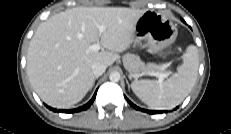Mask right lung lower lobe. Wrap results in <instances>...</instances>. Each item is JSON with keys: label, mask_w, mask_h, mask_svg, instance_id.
I'll list each match as a JSON object with an SVG mask.
<instances>
[{"label": "right lung lower lobe", "mask_w": 231, "mask_h": 134, "mask_svg": "<svg viewBox=\"0 0 231 134\" xmlns=\"http://www.w3.org/2000/svg\"><path fill=\"white\" fill-rule=\"evenodd\" d=\"M95 97H96V93L94 94V96L92 97V99H91L87 104H85V105L82 106V107H79V108H76V109H73V110H58V112L74 113V112L86 110V109L89 108L90 105L94 102ZM47 108H49V109L52 110V111H56V109L51 108V107H49V106H47Z\"/></svg>", "instance_id": "right-lung-lower-lobe-1"}]
</instances>
